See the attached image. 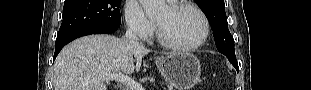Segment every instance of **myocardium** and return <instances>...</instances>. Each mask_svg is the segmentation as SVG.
<instances>
[{
  "label": "myocardium",
  "mask_w": 311,
  "mask_h": 90,
  "mask_svg": "<svg viewBox=\"0 0 311 90\" xmlns=\"http://www.w3.org/2000/svg\"><path fill=\"white\" fill-rule=\"evenodd\" d=\"M181 8H189V9L193 10L194 12H196L198 14V16L201 18V20L203 22V28H204L201 38L197 42H195L191 45L174 44L165 38L159 24L157 22H155L156 38H157L158 42L163 47H165L169 50H173V51H177V52H191V51H194V50L200 48L201 46H203L205 44V42L207 41L209 34H210V23H209L207 16L205 15V13L201 9H199L196 5H194L190 2L181 1V2H177V3L171 4L168 6L169 11H171V12H175Z\"/></svg>",
  "instance_id": "myocardium-1"
}]
</instances>
